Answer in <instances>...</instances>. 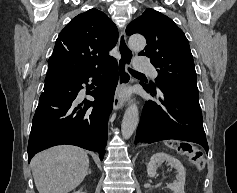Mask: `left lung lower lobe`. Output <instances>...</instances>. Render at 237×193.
<instances>
[{"mask_svg":"<svg viewBox=\"0 0 237 193\" xmlns=\"http://www.w3.org/2000/svg\"><path fill=\"white\" fill-rule=\"evenodd\" d=\"M142 85L161 104L152 100L146 102L135 144L175 139L200 144L208 154L198 90L170 87L160 89L158 95L149 85Z\"/></svg>","mask_w":237,"mask_h":193,"instance_id":"0a47b994","label":"left lung lower lobe"}]
</instances>
